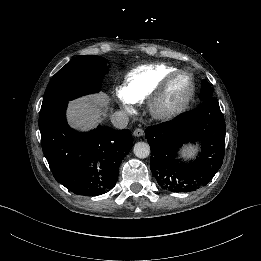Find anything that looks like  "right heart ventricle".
Here are the masks:
<instances>
[{
  "label": "right heart ventricle",
  "mask_w": 261,
  "mask_h": 261,
  "mask_svg": "<svg viewBox=\"0 0 261 261\" xmlns=\"http://www.w3.org/2000/svg\"><path fill=\"white\" fill-rule=\"evenodd\" d=\"M174 67L163 64L141 66L129 72L125 79V93L136 103L147 100L170 76Z\"/></svg>",
  "instance_id": "1"
}]
</instances>
